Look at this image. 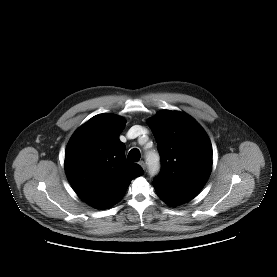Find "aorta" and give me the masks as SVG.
Wrapping results in <instances>:
<instances>
[{"label": "aorta", "mask_w": 277, "mask_h": 277, "mask_svg": "<svg viewBox=\"0 0 277 277\" xmlns=\"http://www.w3.org/2000/svg\"><path fill=\"white\" fill-rule=\"evenodd\" d=\"M146 163H147L150 175L154 176L159 172L160 161H159V155L157 153L148 152L146 154Z\"/></svg>", "instance_id": "aorta-1"}]
</instances>
